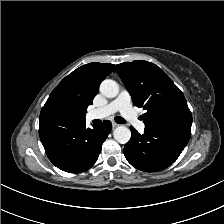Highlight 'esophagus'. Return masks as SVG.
<instances>
[{
  "label": "esophagus",
  "mask_w": 224,
  "mask_h": 224,
  "mask_svg": "<svg viewBox=\"0 0 224 224\" xmlns=\"http://www.w3.org/2000/svg\"><path fill=\"white\" fill-rule=\"evenodd\" d=\"M112 126H113V128H116V127L119 126V124H117V123H115V122H112Z\"/></svg>",
  "instance_id": "34e87169"
}]
</instances>
